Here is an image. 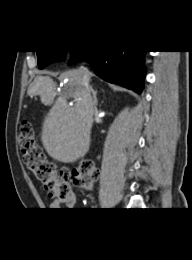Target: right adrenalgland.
Here are the masks:
<instances>
[{
	"label": "right adrenal gland",
	"mask_w": 192,
	"mask_h": 260,
	"mask_svg": "<svg viewBox=\"0 0 192 260\" xmlns=\"http://www.w3.org/2000/svg\"><path fill=\"white\" fill-rule=\"evenodd\" d=\"M90 90L93 94V101H94V105L95 107L98 105V100H97V90H94L92 87H90Z\"/></svg>",
	"instance_id": "right-adrenal-gland-1"
}]
</instances>
